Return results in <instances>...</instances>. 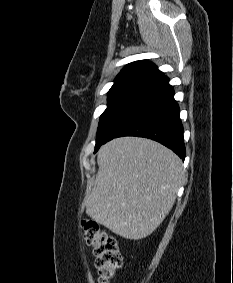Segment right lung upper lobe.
<instances>
[{"instance_id":"obj_1","label":"right lung upper lobe","mask_w":233,"mask_h":283,"mask_svg":"<svg viewBox=\"0 0 233 283\" xmlns=\"http://www.w3.org/2000/svg\"><path fill=\"white\" fill-rule=\"evenodd\" d=\"M164 74L157 66L147 60H139L126 65L114 80L113 86L131 81H149L162 77ZM112 86V87H113Z\"/></svg>"}]
</instances>
